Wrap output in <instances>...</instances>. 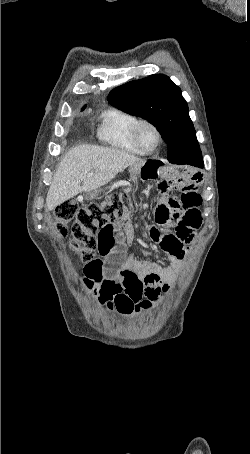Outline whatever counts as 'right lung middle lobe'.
<instances>
[{
    "label": "right lung middle lobe",
    "instance_id": "obj_1",
    "mask_svg": "<svg viewBox=\"0 0 250 454\" xmlns=\"http://www.w3.org/2000/svg\"><path fill=\"white\" fill-rule=\"evenodd\" d=\"M84 109H85V106L82 108V110H84Z\"/></svg>",
    "mask_w": 250,
    "mask_h": 454
}]
</instances>
